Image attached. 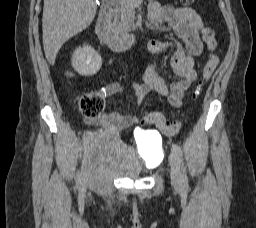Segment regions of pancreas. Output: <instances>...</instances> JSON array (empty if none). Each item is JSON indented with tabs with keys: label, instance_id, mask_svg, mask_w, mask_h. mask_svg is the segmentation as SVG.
Wrapping results in <instances>:
<instances>
[{
	"label": "pancreas",
	"instance_id": "pancreas-1",
	"mask_svg": "<svg viewBox=\"0 0 256 228\" xmlns=\"http://www.w3.org/2000/svg\"><path fill=\"white\" fill-rule=\"evenodd\" d=\"M133 2L117 3L114 12L113 28L117 33H127L135 29V8Z\"/></svg>",
	"mask_w": 256,
	"mask_h": 228
}]
</instances>
